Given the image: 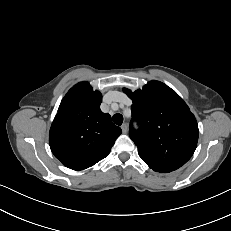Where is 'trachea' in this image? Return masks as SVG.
I'll return each mask as SVG.
<instances>
[{
	"instance_id": "obj_1",
	"label": "trachea",
	"mask_w": 231,
	"mask_h": 231,
	"mask_svg": "<svg viewBox=\"0 0 231 231\" xmlns=\"http://www.w3.org/2000/svg\"><path fill=\"white\" fill-rule=\"evenodd\" d=\"M112 119L116 125H121L123 123V116L119 113L115 114Z\"/></svg>"
}]
</instances>
